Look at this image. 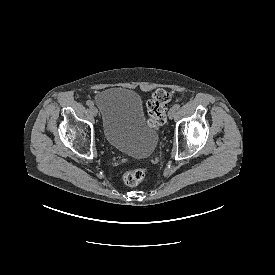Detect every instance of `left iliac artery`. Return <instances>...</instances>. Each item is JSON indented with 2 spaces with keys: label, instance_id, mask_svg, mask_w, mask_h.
Here are the masks:
<instances>
[{
  "label": "left iliac artery",
  "instance_id": "obj_1",
  "mask_svg": "<svg viewBox=\"0 0 275 275\" xmlns=\"http://www.w3.org/2000/svg\"><path fill=\"white\" fill-rule=\"evenodd\" d=\"M173 108H174L175 110H178V109L180 108V105H179V104H175V105L173 106Z\"/></svg>",
  "mask_w": 275,
  "mask_h": 275
}]
</instances>
